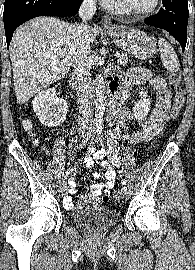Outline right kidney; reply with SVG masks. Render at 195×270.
<instances>
[{"instance_id": "1", "label": "right kidney", "mask_w": 195, "mask_h": 270, "mask_svg": "<svg viewBox=\"0 0 195 270\" xmlns=\"http://www.w3.org/2000/svg\"><path fill=\"white\" fill-rule=\"evenodd\" d=\"M33 109L40 122L48 127H56L66 119L68 105L56 95V87L39 92L32 101Z\"/></svg>"}]
</instances>
